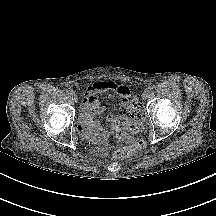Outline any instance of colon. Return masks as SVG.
<instances>
[{
  "label": "colon",
  "mask_w": 216,
  "mask_h": 216,
  "mask_svg": "<svg viewBox=\"0 0 216 216\" xmlns=\"http://www.w3.org/2000/svg\"><path fill=\"white\" fill-rule=\"evenodd\" d=\"M146 119V110L136 98L125 107L124 114L111 122V138L118 145L115 153L119 159L128 158L143 149L142 140L133 137L142 128Z\"/></svg>",
  "instance_id": "1"
}]
</instances>
